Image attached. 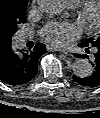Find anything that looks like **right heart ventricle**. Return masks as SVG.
Instances as JSON below:
<instances>
[{"mask_svg":"<svg viewBox=\"0 0 100 118\" xmlns=\"http://www.w3.org/2000/svg\"><path fill=\"white\" fill-rule=\"evenodd\" d=\"M64 1L67 2L70 6H76L83 0H64Z\"/></svg>","mask_w":100,"mask_h":118,"instance_id":"e07e8e85","label":"right heart ventricle"}]
</instances>
